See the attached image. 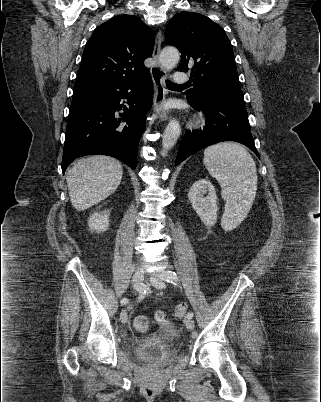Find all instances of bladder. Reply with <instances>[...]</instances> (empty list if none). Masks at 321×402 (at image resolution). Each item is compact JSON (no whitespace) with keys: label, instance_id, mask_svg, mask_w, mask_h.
<instances>
[{"label":"bladder","instance_id":"31cf9c89","mask_svg":"<svg viewBox=\"0 0 321 402\" xmlns=\"http://www.w3.org/2000/svg\"><path fill=\"white\" fill-rule=\"evenodd\" d=\"M142 361L153 366H165L173 360V353L161 333L151 334L138 339L132 348Z\"/></svg>","mask_w":321,"mask_h":402}]
</instances>
